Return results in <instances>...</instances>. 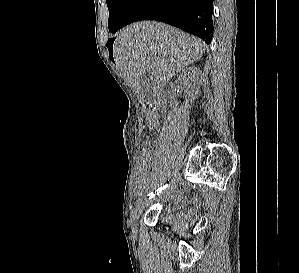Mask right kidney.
Wrapping results in <instances>:
<instances>
[{"label": "right kidney", "instance_id": "right-kidney-1", "mask_svg": "<svg viewBox=\"0 0 299 273\" xmlns=\"http://www.w3.org/2000/svg\"><path fill=\"white\" fill-rule=\"evenodd\" d=\"M200 74H201L200 69H198L197 67H190L184 69L178 77V80L180 82H183L185 85L184 92L186 93L187 101L189 100V98L194 99V95H196L200 89V81H197L196 83L195 82L189 83L188 80L192 78H198Z\"/></svg>", "mask_w": 299, "mask_h": 273}]
</instances>
